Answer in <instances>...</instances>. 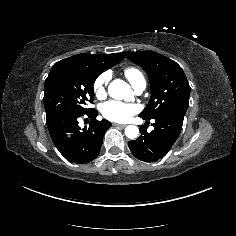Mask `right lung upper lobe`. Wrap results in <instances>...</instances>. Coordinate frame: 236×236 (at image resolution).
Wrapping results in <instances>:
<instances>
[{"label":"right lung upper lobe","mask_w":236,"mask_h":236,"mask_svg":"<svg viewBox=\"0 0 236 236\" xmlns=\"http://www.w3.org/2000/svg\"><path fill=\"white\" fill-rule=\"evenodd\" d=\"M125 53H114V54H78L74 55L72 57H69V59H93L96 61L101 62L106 70L115 66L117 63H119L124 58Z\"/></svg>","instance_id":"1"}]
</instances>
